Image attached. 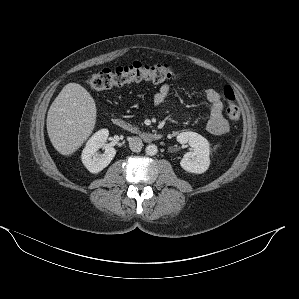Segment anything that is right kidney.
<instances>
[{
	"instance_id": "ca27d5eb",
	"label": "right kidney",
	"mask_w": 299,
	"mask_h": 299,
	"mask_svg": "<svg viewBox=\"0 0 299 299\" xmlns=\"http://www.w3.org/2000/svg\"><path fill=\"white\" fill-rule=\"evenodd\" d=\"M109 131L101 129L97 131L86 143L82 151L81 159L84 166L91 173H98L107 167L116 154L115 148L105 145ZM104 148L103 154H98L99 148Z\"/></svg>"
}]
</instances>
